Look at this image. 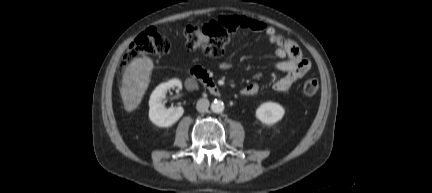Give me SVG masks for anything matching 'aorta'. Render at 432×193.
<instances>
[{"mask_svg": "<svg viewBox=\"0 0 432 193\" xmlns=\"http://www.w3.org/2000/svg\"><path fill=\"white\" fill-rule=\"evenodd\" d=\"M211 110L214 113H222L224 111V103L220 100H215L211 104Z\"/></svg>", "mask_w": 432, "mask_h": 193, "instance_id": "aorta-1", "label": "aorta"}]
</instances>
